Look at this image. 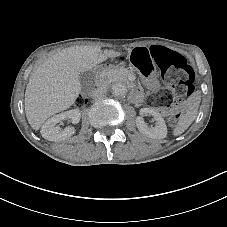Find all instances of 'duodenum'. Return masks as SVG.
I'll return each instance as SVG.
<instances>
[{
    "label": "duodenum",
    "mask_w": 227,
    "mask_h": 227,
    "mask_svg": "<svg viewBox=\"0 0 227 227\" xmlns=\"http://www.w3.org/2000/svg\"><path fill=\"white\" fill-rule=\"evenodd\" d=\"M112 66L111 65H107V68L109 69V68H111Z\"/></svg>",
    "instance_id": "1"
}]
</instances>
